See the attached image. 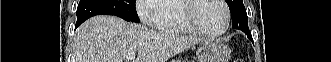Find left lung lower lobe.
I'll return each instance as SVG.
<instances>
[{
	"mask_svg": "<svg viewBox=\"0 0 331 62\" xmlns=\"http://www.w3.org/2000/svg\"><path fill=\"white\" fill-rule=\"evenodd\" d=\"M232 27L235 28V29H240L241 31H243L247 37L252 40V36H251V33L250 32H247L246 30H244L240 25H237L236 23H232Z\"/></svg>",
	"mask_w": 331,
	"mask_h": 62,
	"instance_id": "left-lung-lower-lobe-1",
	"label": "left lung lower lobe"
}]
</instances>
